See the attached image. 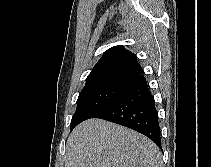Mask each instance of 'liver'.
Returning a JSON list of instances; mask_svg holds the SVG:
<instances>
[{"instance_id":"liver-1","label":"liver","mask_w":211,"mask_h":167,"mask_svg":"<svg viewBox=\"0 0 211 167\" xmlns=\"http://www.w3.org/2000/svg\"><path fill=\"white\" fill-rule=\"evenodd\" d=\"M65 167H163V163L159 148L142 134L89 119L70 134Z\"/></svg>"}]
</instances>
